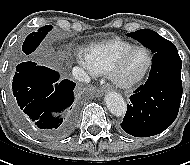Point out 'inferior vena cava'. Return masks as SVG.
Returning <instances> with one entry per match:
<instances>
[{
	"label": "inferior vena cava",
	"mask_w": 190,
	"mask_h": 165,
	"mask_svg": "<svg viewBox=\"0 0 190 165\" xmlns=\"http://www.w3.org/2000/svg\"><path fill=\"white\" fill-rule=\"evenodd\" d=\"M72 74H73L74 78L78 81H82L85 83L90 82L89 75L83 69H81L79 67H74L72 70Z\"/></svg>",
	"instance_id": "obj_1"
}]
</instances>
